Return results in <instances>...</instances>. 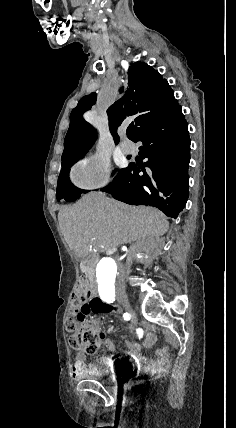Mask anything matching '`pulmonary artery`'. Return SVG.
Instances as JSON below:
<instances>
[{
  "label": "pulmonary artery",
  "instance_id": "pulmonary-artery-1",
  "mask_svg": "<svg viewBox=\"0 0 236 428\" xmlns=\"http://www.w3.org/2000/svg\"><path fill=\"white\" fill-rule=\"evenodd\" d=\"M120 150L124 154H131L135 151V146L132 142L125 140L120 143Z\"/></svg>",
  "mask_w": 236,
  "mask_h": 428
}]
</instances>
